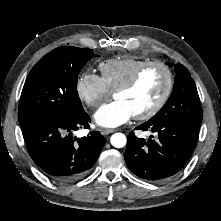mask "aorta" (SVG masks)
<instances>
[{
	"instance_id": "1",
	"label": "aorta",
	"mask_w": 221,
	"mask_h": 221,
	"mask_svg": "<svg viewBox=\"0 0 221 221\" xmlns=\"http://www.w3.org/2000/svg\"><path fill=\"white\" fill-rule=\"evenodd\" d=\"M110 142L115 148H122L126 145L127 139L123 133H115L111 136Z\"/></svg>"
}]
</instances>
